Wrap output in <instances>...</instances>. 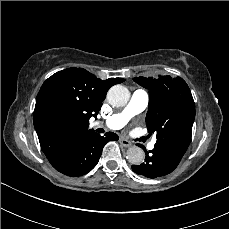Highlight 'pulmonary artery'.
<instances>
[{
  "instance_id": "pulmonary-artery-1",
  "label": "pulmonary artery",
  "mask_w": 229,
  "mask_h": 229,
  "mask_svg": "<svg viewBox=\"0 0 229 229\" xmlns=\"http://www.w3.org/2000/svg\"><path fill=\"white\" fill-rule=\"evenodd\" d=\"M149 103V96L145 90L139 89L133 92L125 108L110 116L106 121L94 123L95 127H105L109 130H119L135 115L146 109ZM154 147V143L148 145L149 149Z\"/></svg>"
}]
</instances>
